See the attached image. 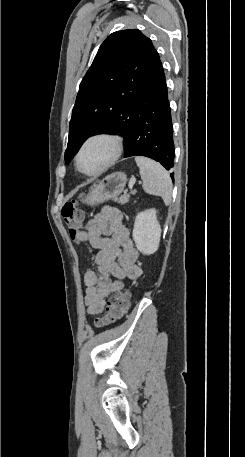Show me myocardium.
Wrapping results in <instances>:
<instances>
[{
  "label": "myocardium",
  "instance_id": "obj_1",
  "mask_svg": "<svg viewBox=\"0 0 245 457\" xmlns=\"http://www.w3.org/2000/svg\"><path fill=\"white\" fill-rule=\"evenodd\" d=\"M97 141H102V142L106 143L105 146L109 151V156H108L106 162L99 169L89 172L82 168L81 158H82L83 154L85 153V151L91 146V144L93 142H97ZM121 145H122V142L119 139V137L116 135H113V134H109V133H98V134H94V135L88 137L83 142L82 147L80 148V150L77 154V157H76V164H77L79 171L88 176L99 175L100 173H102L103 171H105L106 169L111 167L114 164V162L117 160V158L120 156Z\"/></svg>",
  "mask_w": 245,
  "mask_h": 457
}]
</instances>
